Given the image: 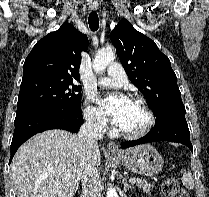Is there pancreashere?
<instances>
[{"label": "pancreas", "instance_id": "1", "mask_svg": "<svg viewBox=\"0 0 209 197\" xmlns=\"http://www.w3.org/2000/svg\"><path fill=\"white\" fill-rule=\"evenodd\" d=\"M136 185L139 189H141L143 192H145L148 195H151V193L153 192V188H154L153 184H148L142 180L137 182Z\"/></svg>", "mask_w": 209, "mask_h": 197}]
</instances>
